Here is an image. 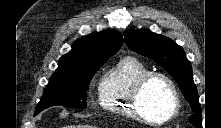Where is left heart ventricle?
Instances as JSON below:
<instances>
[{
    "instance_id": "left-heart-ventricle-1",
    "label": "left heart ventricle",
    "mask_w": 221,
    "mask_h": 128,
    "mask_svg": "<svg viewBox=\"0 0 221 128\" xmlns=\"http://www.w3.org/2000/svg\"><path fill=\"white\" fill-rule=\"evenodd\" d=\"M142 110L155 120H162L172 109L171 94L167 84L160 78L147 83L140 95Z\"/></svg>"
}]
</instances>
